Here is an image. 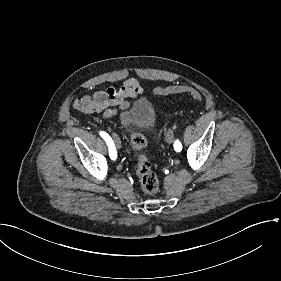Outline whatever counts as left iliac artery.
<instances>
[{"label": "left iliac artery", "instance_id": "1", "mask_svg": "<svg viewBox=\"0 0 281 281\" xmlns=\"http://www.w3.org/2000/svg\"><path fill=\"white\" fill-rule=\"evenodd\" d=\"M174 149H175L177 152L181 151L182 145H181L180 141H178V140L175 141V143H174Z\"/></svg>", "mask_w": 281, "mask_h": 281}]
</instances>
